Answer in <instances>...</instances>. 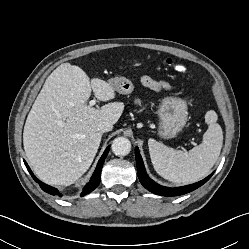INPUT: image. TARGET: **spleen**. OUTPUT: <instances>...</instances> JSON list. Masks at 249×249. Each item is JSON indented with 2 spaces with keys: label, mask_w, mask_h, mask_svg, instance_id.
Wrapping results in <instances>:
<instances>
[{
  "label": "spleen",
  "mask_w": 249,
  "mask_h": 249,
  "mask_svg": "<svg viewBox=\"0 0 249 249\" xmlns=\"http://www.w3.org/2000/svg\"><path fill=\"white\" fill-rule=\"evenodd\" d=\"M217 120L215 111L206 113L205 121L209 126L203 141L188 152L174 150L149 139V152L155 171L169 181L183 184L196 182L206 176L219 158L223 145V132Z\"/></svg>",
  "instance_id": "3e777b00"
}]
</instances>
